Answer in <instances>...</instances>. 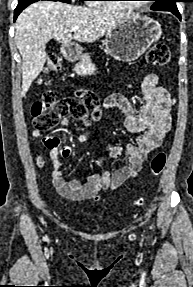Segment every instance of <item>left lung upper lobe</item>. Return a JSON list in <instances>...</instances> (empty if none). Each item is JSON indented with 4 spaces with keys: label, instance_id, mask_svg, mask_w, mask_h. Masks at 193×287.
Returning <instances> with one entry per match:
<instances>
[{
    "label": "left lung upper lobe",
    "instance_id": "5c2ea615",
    "mask_svg": "<svg viewBox=\"0 0 193 287\" xmlns=\"http://www.w3.org/2000/svg\"><path fill=\"white\" fill-rule=\"evenodd\" d=\"M155 3L151 6L152 10L168 11L177 9L176 2L179 0H152Z\"/></svg>",
    "mask_w": 193,
    "mask_h": 287
}]
</instances>
